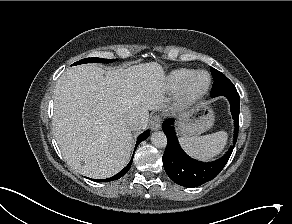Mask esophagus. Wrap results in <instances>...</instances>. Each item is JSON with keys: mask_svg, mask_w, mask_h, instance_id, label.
I'll return each mask as SVG.
<instances>
[{"mask_svg": "<svg viewBox=\"0 0 292 224\" xmlns=\"http://www.w3.org/2000/svg\"><path fill=\"white\" fill-rule=\"evenodd\" d=\"M150 127L153 131L159 130L161 127V118L158 115H154L150 121Z\"/></svg>", "mask_w": 292, "mask_h": 224, "instance_id": "esophagus-1", "label": "esophagus"}]
</instances>
